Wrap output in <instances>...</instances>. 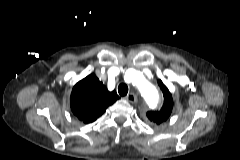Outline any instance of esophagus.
I'll return each instance as SVG.
<instances>
[{"instance_id":"esophagus-1","label":"esophagus","mask_w":240,"mask_h":160,"mask_svg":"<svg viewBox=\"0 0 240 160\" xmlns=\"http://www.w3.org/2000/svg\"><path fill=\"white\" fill-rule=\"evenodd\" d=\"M125 99L130 103H136L137 102V96L134 93H129Z\"/></svg>"}]
</instances>
